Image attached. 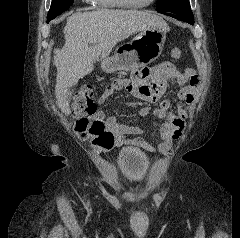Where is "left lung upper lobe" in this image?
Returning <instances> with one entry per match:
<instances>
[{
  "label": "left lung upper lobe",
  "instance_id": "5c2ea615",
  "mask_svg": "<svg viewBox=\"0 0 240 238\" xmlns=\"http://www.w3.org/2000/svg\"><path fill=\"white\" fill-rule=\"evenodd\" d=\"M157 11L193 18L189 0H157Z\"/></svg>",
  "mask_w": 240,
  "mask_h": 238
}]
</instances>
